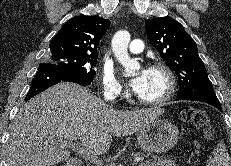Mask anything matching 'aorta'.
<instances>
[{
  "mask_svg": "<svg viewBox=\"0 0 231 166\" xmlns=\"http://www.w3.org/2000/svg\"><path fill=\"white\" fill-rule=\"evenodd\" d=\"M130 33L125 30L118 31L112 39V50L118 62L124 67L126 76H130L139 70L140 64L136 59L130 58L128 44Z\"/></svg>",
  "mask_w": 231,
  "mask_h": 166,
  "instance_id": "aorta-1",
  "label": "aorta"
}]
</instances>
